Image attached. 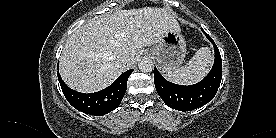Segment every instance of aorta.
<instances>
[{"instance_id": "762f6f07", "label": "aorta", "mask_w": 276, "mask_h": 138, "mask_svg": "<svg viewBox=\"0 0 276 138\" xmlns=\"http://www.w3.org/2000/svg\"><path fill=\"white\" fill-rule=\"evenodd\" d=\"M138 67L141 72H151L154 68V65L151 59L145 58L140 61Z\"/></svg>"}]
</instances>
